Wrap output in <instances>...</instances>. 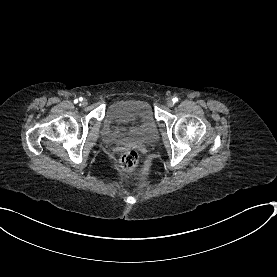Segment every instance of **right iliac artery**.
Listing matches in <instances>:
<instances>
[{"instance_id":"right-iliac-artery-1","label":"right iliac artery","mask_w":277,"mask_h":277,"mask_svg":"<svg viewBox=\"0 0 277 277\" xmlns=\"http://www.w3.org/2000/svg\"><path fill=\"white\" fill-rule=\"evenodd\" d=\"M79 101H82V98H81V97L79 98ZM75 102L77 103V102H78V99H76Z\"/></svg>"}]
</instances>
